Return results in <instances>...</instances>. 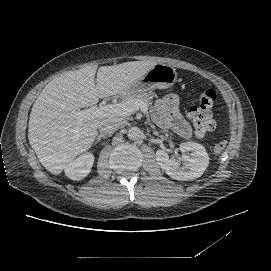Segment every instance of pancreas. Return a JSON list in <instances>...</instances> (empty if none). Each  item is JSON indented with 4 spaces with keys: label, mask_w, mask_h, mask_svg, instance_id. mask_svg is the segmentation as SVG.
Returning <instances> with one entry per match:
<instances>
[{
    "label": "pancreas",
    "mask_w": 271,
    "mask_h": 271,
    "mask_svg": "<svg viewBox=\"0 0 271 271\" xmlns=\"http://www.w3.org/2000/svg\"><path fill=\"white\" fill-rule=\"evenodd\" d=\"M131 100H140V101L145 102L147 105H150L151 94L135 92L131 95H126L123 97V102L131 101Z\"/></svg>",
    "instance_id": "obj_1"
}]
</instances>
